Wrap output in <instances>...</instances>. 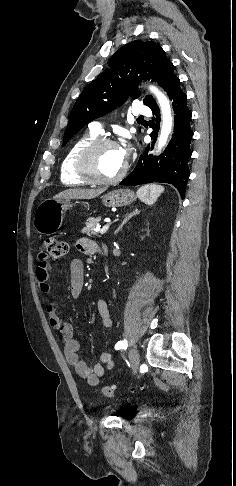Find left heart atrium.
Listing matches in <instances>:
<instances>
[{
  "instance_id": "left-heart-atrium-1",
  "label": "left heart atrium",
  "mask_w": 236,
  "mask_h": 486,
  "mask_svg": "<svg viewBox=\"0 0 236 486\" xmlns=\"http://www.w3.org/2000/svg\"><path fill=\"white\" fill-rule=\"evenodd\" d=\"M120 150H121V153H122V156H123L124 160H126L129 149L128 148H124V149H120Z\"/></svg>"
}]
</instances>
